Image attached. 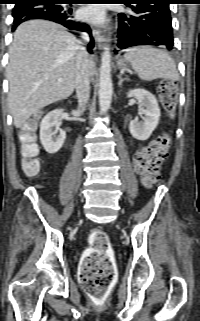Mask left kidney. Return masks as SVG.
<instances>
[{
    "label": "left kidney",
    "instance_id": "obj_1",
    "mask_svg": "<svg viewBox=\"0 0 200 321\" xmlns=\"http://www.w3.org/2000/svg\"><path fill=\"white\" fill-rule=\"evenodd\" d=\"M127 97H135L139 105V115L143 121L136 119L129 124L131 135L140 141L147 140L159 123L160 108L155 96L145 89H133L127 93Z\"/></svg>",
    "mask_w": 200,
    "mask_h": 321
}]
</instances>
